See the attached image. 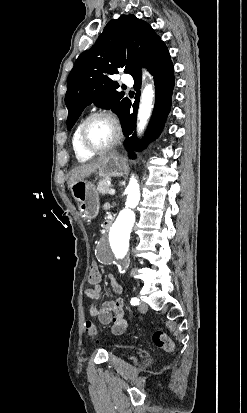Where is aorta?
Masks as SVG:
<instances>
[{
    "label": "aorta",
    "mask_w": 247,
    "mask_h": 413,
    "mask_svg": "<svg viewBox=\"0 0 247 413\" xmlns=\"http://www.w3.org/2000/svg\"><path fill=\"white\" fill-rule=\"evenodd\" d=\"M146 77L151 79V75L144 70L143 80ZM154 90L152 84H146L141 94L139 110H138V123L137 132L140 134L144 131L148 119L150 118L153 108ZM127 200L125 208L120 211L116 221L114 222L110 231V241L114 243V253L117 258H123L129 247L130 231L135 222L134 208L138 205L140 200L139 183L134 176H131L129 184L126 188Z\"/></svg>",
    "instance_id": "762f6f07"
}]
</instances>
